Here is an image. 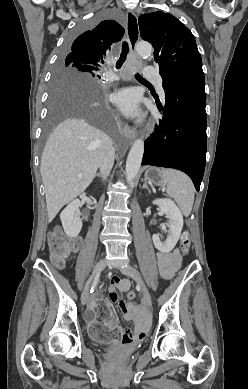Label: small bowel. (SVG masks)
<instances>
[{
  "mask_svg": "<svg viewBox=\"0 0 248 389\" xmlns=\"http://www.w3.org/2000/svg\"><path fill=\"white\" fill-rule=\"evenodd\" d=\"M158 269L160 275L165 279H170L180 267V256L178 250L171 252H159L157 254ZM111 287L109 292V302L117 304L123 311L124 319L134 324V329H125L122 333L121 342L124 344H135L145 338L149 331V322L146 317L145 305L126 303L120 297L126 292L131 283L127 279H121L119 272L111 274ZM86 319L90 322L95 320L94 304L90 305L86 312ZM109 326H115V318L108 322Z\"/></svg>",
  "mask_w": 248,
  "mask_h": 389,
  "instance_id": "small-bowel-1",
  "label": "small bowel"
}]
</instances>
